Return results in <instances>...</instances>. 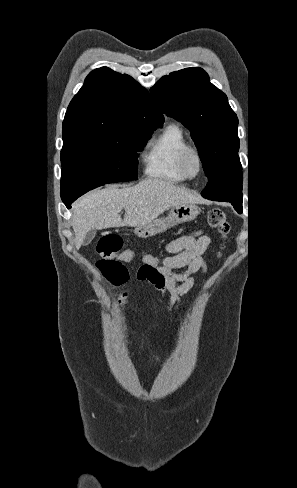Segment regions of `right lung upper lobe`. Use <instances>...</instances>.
Wrapping results in <instances>:
<instances>
[{"instance_id":"cb5924a9","label":"right lung upper lobe","mask_w":297,"mask_h":488,"mask_svg":"<svg viewBox=\"0 0 297 488\" xmlns=\"http://www.w3.org/2000/svg\"><path fill=\"white\" fill-rule=\"evenodd\" d=\"M164 117L149 92L132 77L107 67L93 70L70 102L63 141L118 135L142 125L161 126Z\"/></svg>"}]
</instances>
